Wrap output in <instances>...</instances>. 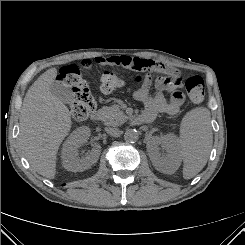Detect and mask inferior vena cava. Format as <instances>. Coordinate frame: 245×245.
<instances>
[{
  "mask_svg": "<svg viewBox=\"0 0 245 245\" xmlns=\"http://www.w3.org/2000/svg\"><path fill=\"white\" fill-rule=\"evenodd\" d=\"M106 132H107L109 135L113 136V137H119V136L121 135L120 129L115 128V127H114V128H113V127L107 128V129H106Z\"/></svg>",
  "mask_w": 245,
  "mask_h": 245,
  "instance_id": "1",
  "label": "inferior vena cava"
}]
</instances>
